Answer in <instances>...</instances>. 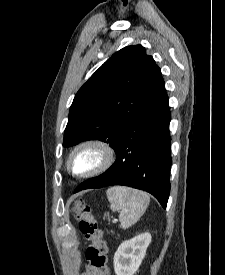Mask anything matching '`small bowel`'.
<instances>
[{
	"label": "small bowel",
	"mask_w": 225,
	"mask_h": 275,
	"mask_svg": "<svg viewBox=\"0 0 225 275\" xmlns=\"http://www.w3.org/2000/svg\"><path fill=\"white\" fill-rule=\"evenodd\" d=\"M81 275H104L103 272H101L98 269L93 268L92 266H87L85 271L81 273Z\"/></svg>",
	"instance_id": "1"
}]
</instances>
